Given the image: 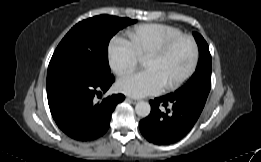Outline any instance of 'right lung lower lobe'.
Masks as SVG:
<instances>
[{
  "mask_svg": "<svg viewBox=\"0 0 261 162\" xmlns=\"http://www.w3.org/2000/svg\"><path fill=\"white\" fill-rule=\"evenodd\" d=\"M114 81L113 75L95 78L79 72L47 81L48 104L58 127L79 141L94 140L105 134L112 112L125 96L112 95L98 103L95 96L106 92Z\"/></svg>",
  "mask_w": 261,
  "mask_h": 162,
  "instance_id": "98d812e1",
  "label": "right lung lower lobe"
}]
</instances>
